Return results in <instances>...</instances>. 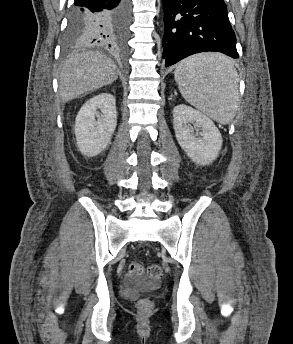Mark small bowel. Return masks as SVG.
Segmentation results:
<instances>
[{
	"label": "small bowel",
	"mask_w": 293,
	"mask_h": 344,
	"mask_svg": "<svg viewBox=\"0 0 293 344\" xmlns=\"http://www.w3.org/2000/svg\"><path fill=\"white\" fill-rule=\"evenodd\" d=\"M136 293L137 288L135 286L133 278L127 274L125 279V286L122 289V294L128 299H133L136 296Z\"/></svg>",
	"instance_id": "obj_1"
}]
</instances>
